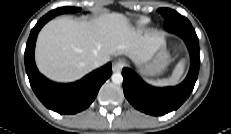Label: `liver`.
Wrapping results in <instances>:
<instances>
[{"label":"liver","instance_id":"obj_1","mask_svg":"<svg viewBox=\"0 0 231 134\" xmlns=\"http://www.w3.org/2000/svg\"><path fill=\"white\" fill-rule=\"evenodd\" d=\"M163 43V35H142L122 14H104L89 21L62 17L40 31L36 63L48 78L71 82L89 73L95 60L105 64L112 55H125L139 62L150 58Z\"/></svg>","mask_w":231,"mask_h":134}]
</instances>
